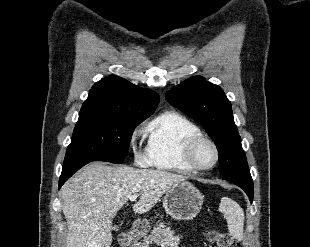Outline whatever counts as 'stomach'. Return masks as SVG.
I'll return each mask as SVG.
<instances>
[{
    "label": "stomach",
    "mask_w": 310,
    "mask_h": 247,
    "mask_svg": "<svg viewBox=\"0 0 310 247\" xmlns=\"http://www.w3.org/2000/svg\"><path fill=\"white\" fill-rule=\"evenodd\" d=\"M202 193L190 182L183 181L168 190L163 199V206L167 214L176 220H192L199 213L203 204ZM149 230L145 220H138L134 231L144 235Z\"/></svg>",
    "instance_id": "obj_1"
}]
</instances>
